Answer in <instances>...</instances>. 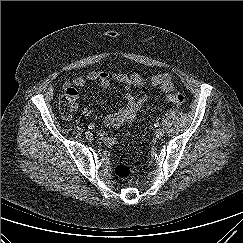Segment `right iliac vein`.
<instances>
[{"label": "right iliac vein", "instance_id": "obj_1", "mask_svg": "<svg viewBox=\"0 0 243 243\" xmlns=\"http://www.w3.org/2000/svg\"><path fill=\"white\" fill-rule=\"evenodd\" d=\"M85 137L88 140H93V134L90 131L85 132Z\"/></svg>", "mask_w": 243, "mask_h": 243}]
</instances>
